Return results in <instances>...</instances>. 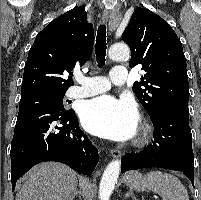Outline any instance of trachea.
Wrapping results in <instances>:
<instances>
[{"instance_id":"1","label":"trachea","mask_w":201,"mask_h":200,"mask_svg":"<svg viewBox=\"0 0 201 200\" xmlns=\"http://www.w3.org/2000/svg\"><path fill=\"white\" fill-rule=\"evenodd\" d=\"M106 49V26L101 24L98 27L95 45V54L98 67H102L105 64Z\"/></svg>"}]
</instances>
